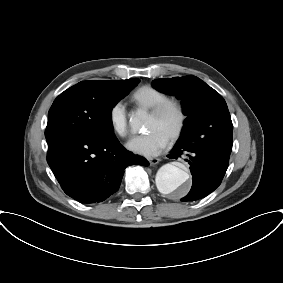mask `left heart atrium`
<instances>
[{"label": "left heart atrium", "instance_id": "left-heart-atrium-1", "mask_svg": "<svg viewBox=\"0 0 283 283\" xmlns=\"http://www.w3.org/2000/svg\"><path fill=\"white\" fill-rule=\"evenodd\" d=\"M168 137L158 130H150L133 137L127 143V148L139 155L151 157L159 154L167 145Z\"/></svg>", "mask_w": 283, "mask_h": 283}]
</instances>
